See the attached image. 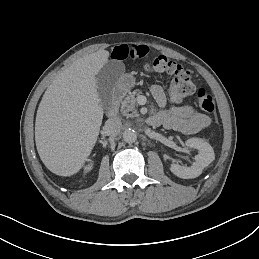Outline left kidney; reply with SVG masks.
<instances>
[{
	"label": "left kidney",
	"mask_w": 259,
	"mask_h": 259,
	"mask_svg": "<svg viewBox=\"0 0 259 259\" xmlns=\"http://www.w3.org/2000/svg\"><path fill=\"white\" fill-rule=\"evenodd\" d=\"M185 146L199 151L195 162L191 167H184L172 161L169 166L170 172L182 179H192L198 177L203 168L211 164L215 160L213 148L207 142L201 139H189L185 142Z\"/></svg>",
	"instance_id": "5707ae66"
}]
</instances>
